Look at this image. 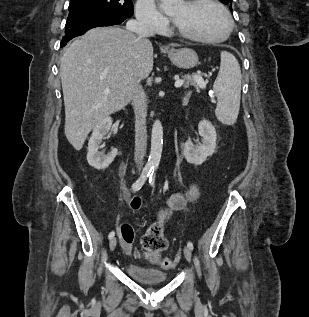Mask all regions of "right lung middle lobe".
I'll return each mask as SVG.
<instances>
[{"instance_id":"right-lung-middle-lobe-1","label":"right lung middle lobe","mask_w":309,"mask_h":317,"mask_svg":"<svg viewBox=\"0 0 309 317\" xmlns=\"http://www.w3.org/2000/svg\"><path fill=\"white\" fill-rule=\"evenodd\" d=\"M103 12L130 18L133 15L131 0H71L69 12Z\"/></svg>"}]
</instances>
